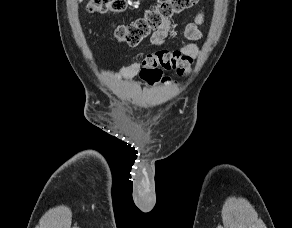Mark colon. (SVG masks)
Segmentation results:
<instances>
[{
    "label": "colon",
    "mask_w": 292,
    "mask_h": 228,
    "mask_svg": "<svg viewBox=\"0 0 292 228\" xmlns=\"http://www.w3.org/2000/svg\"><path fill=\"white\" fill-rule=\"evenodd\" d=\"M199 0H160L159 3L145 14L129 24L114 25L115 38L128 46H137L153 31L157 30L173 15L193 7ZM127 8V0H90L87 9L90 13H123ZM161 69H173L178 74L190 71L184 59L176 52L158 51L148 55L142 61L140 77L152 84L160 80Z\"/></svg>",
    "instance_id": "obj_1"
}]
</instances>
